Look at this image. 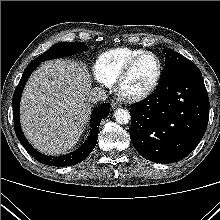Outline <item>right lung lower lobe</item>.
Here are the masks:
<instances>
[{
  "label": "right lung lower lobe",
  "instance_id": "right-lung-lower-lobe-1",
  "mask_svg": "<svg viewBox=\"0 0 220 220\" xmlns=\"http://www.w3.org/2000/svg\"><path fill=\"white\" fill-rule=\"evenodd\" d=\"M38 65L39 64L37 63H30L26 67L19 84L15 89V93L13 95L12 104H13L14 128L16 135L19 141L21 142V144L24 146V148L39 162L49 166H58V167L75 165L83 161L94 149L97 143L100 122L104 117L108 116L110 112V104L104 103L93 110L91 117L90 136L88 137L84 145H82L79 149L68 155L60 156V157L46 156L39 153L26 140L21 130L20 120H19V106H20L21 94L23 92L24 86L30 74L36 69Z\"/></svg>",
  "mask_w": 220,
  "mask_h": 220
}]
</instances>
